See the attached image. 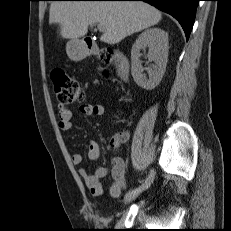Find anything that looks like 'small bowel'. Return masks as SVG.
<instances>
[{
  "label": "small bowel",
  "mask_w": 231,
  "mask_h": 231,
  "mask_svg": "<svg viewBox=\"0 0 231 231\" xmlns=\"http://www.w3.org/2000/svg\"><path fill=\"white\" fill-rule=\"evenodd\" d=\"M79 111L84 116L99 117L103 115L104 108L100 104H84L80 106ZM58 126L62 131L65 132L72 129V112L70 110L64 107L59 109ZM127 139L128 132L117 134L111 139L110 145L114 149H117ZM100 156L101 150L98 142L91 141L88 146V158L92 161H97ZM71 162L74 165H80L82 163V155L80 153H73L71 155ZM79 175L94 197H98L103 194L101 179L107 177L108 175L112 177V182L108 188V193L111 197H120L122 190L126 187L125 164L123 160L117 156L112 159L111 169L97 166L92 172H89L85 168H80Z\"/></svg>",
  "instance_id": "obj_1"
}]
</instances>
